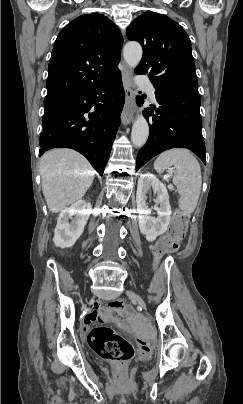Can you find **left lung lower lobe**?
Instances as JSON below:
<instances>
[{
  "mask_svg": "<svg viewBox=\"0 0 243 404\" xmlns=\"http://www.w3.org/2000/svg\"><path fill=\"white\" fill-rule=\"evenodd\" d=\"M156 114L150 118V132L147 143L139 151L136 159V171L154 156L177 147L188 148L204 164L205 143L202 136V119L199 112L200 94L175 89L155 88ZM150 113H146L148 119Z\"/></svg>",
  "mask_w": 243,
  "mask_h": 404,
  "instance_id": "left-lung-lower-lobe-1",
  "label": "left lung lower lobe"
}]
</instances>
